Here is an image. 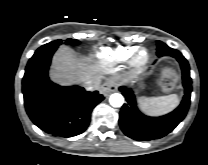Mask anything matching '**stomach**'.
Returning <instances> with one entry per match:
<instances>
[{
	"label": "stomach",
	"mask_w": 208,
	"mask_h": 165,
	"mask_svg": "<svg viewBox=\"0 0 208 165\" xmlns=\"http://www.w3.org/2000/svg\"><path fill=\"white\" fill-rule=\"evenodd\" d=\"M138 77L136 75L131 76L129 79L136 80Z\"/></svg>",
	"instance_id": "obj_1"
}]
</instances>
